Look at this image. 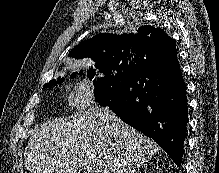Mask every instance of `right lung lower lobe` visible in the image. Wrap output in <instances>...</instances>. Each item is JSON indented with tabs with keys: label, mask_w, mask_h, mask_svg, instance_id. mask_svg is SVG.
I'll list each match as a JSON object with an SVG mask.
<instances>
[{
	"label": "right lung lower lobe",
	"mask_w": 219,
	"mask_h": 173,
	"mask_svg": "<svg viewBox=\"0 0 219 173\" xmlns=\"http://www.w3.org/2000/svg\"><path fill=\"white\" fill-rule=\"evenodd\" d=\"M141 63L113 92L108 103L118 117L152 138L180 167L187 135L186 86L179 62Z\"/></svg>",
	"instance_id": "obj_1"
}]
</instances>
